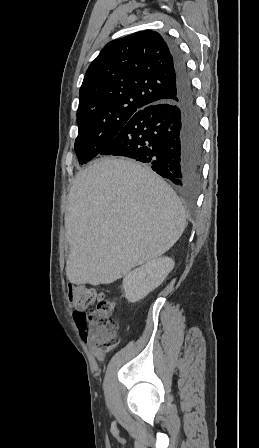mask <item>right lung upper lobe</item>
I'll list each match as a JSON object with an SVG mask.
<instances>
[{
    "instance_id": "cb5924a9",
    "label": "right lung upper lobe",
    "mask_w": 259,
    "mask_h": 448,
    "mask_svg": "<svg viewBox=\"0 0 259 448\" xmlns=\"http://www.w3.org/2000/svg\"><path fill=\"white\" fill-rule=\"evenodd\" d=\"M176 74L167 42L144 30L109 42L80 88L77 115L144 109L171 98Z\"/></svg>"
}]
</instances>
